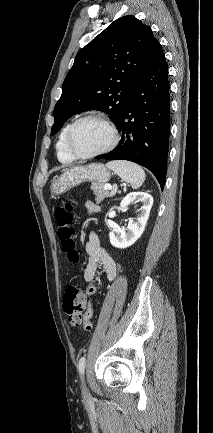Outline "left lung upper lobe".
<instances>
[{"label": "left lung upper lobe", "instance_id": "1", "mask_svg": "<svg viewBox=\"0 0 213 433\" xmlns=\"http://www.w3.org/2000/svg\"><path fill=\"white\" fill-rule=\"evenodd\" d=\"M161 47L132 15L115 20L75 57L54 108V135L72 115L99 110L119 124L129 97Z\"/></svg>", "mask_w": 213, "mask_h": 433}]
</instances>
